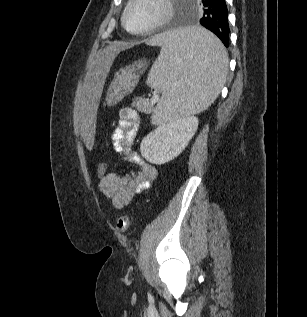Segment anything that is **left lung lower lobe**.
<instances>
[{
	"label": "left lung lower lobe",
	"instance_id": "0a47b994",
	"mask_svg": "<svg viewBox=\"0 0 307 317\" xmlns=\"http://www.w3.org/2000/svg\"><path fill=\"white\" fill-rule=\"evenodd\" d=\"M202 4L204 15L200 24L212 31L225 47H229L228 9L225 0H202Z\"/></svg>",
	"mask_w": 307,
	"mask_h": 317
}]
</instances>
